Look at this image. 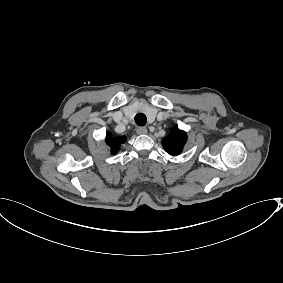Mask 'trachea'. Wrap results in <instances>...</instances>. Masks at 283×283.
I'll return each mask as SVG.
<instances>
[{
	"instance_id": "obj_1",
	"label": "trachea",
	"mask_w": 283,
	"mask_h": 283,
	"mask_svg": "<svg viewBox=\"0 0 283 283\" xmlns=\"http://www.w3.org/2000/svg\"><path fill=\"white\" fill-rule=\"evenodd\" d=\"M146 121H147V118L142 113H139L135 116V122L140 127H144L146 125Z\"/></svg>"
}]
</instances>
